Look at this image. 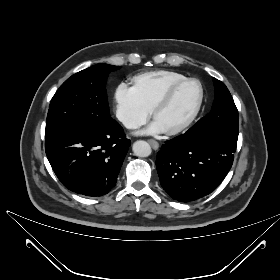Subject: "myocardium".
<instances>
[{
	"instance_id": "1",
	"label": "myocardium",
	"mask_w": 280,
	"mask_h": 280,
	"mask_svg": "<svg viewBox=\"0 0 280 280\" xmlns=\"http://www.w3.org/2000/svg\"><path fill=\"white\" fill-rule=\"evenodd\" d=\"M187 83H196L198 85L199 97H198L197 103H196L192 113L190 114V116L182 124L178 125L177 127L173 128V129L163 130V133L166 135H169V136L177 135V134L183 132L184 130H186L195 121V119L197 118V116L201 110L203 100H204V88H203L202 83L196 78H185L183 80L175 82V83L171 84L164 91V93L160 96V98L155 102V104L151 108V116L153 119H155V115H156L157 111L159 109H161L162 107H164L170 101L174 92L180 86L187 84Z\"/></svg>"
}]
</instances>
